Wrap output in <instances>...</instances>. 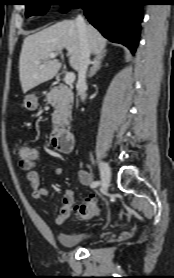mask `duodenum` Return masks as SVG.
I'll return each instance as SVG.
<instances>
[{"mask_svg":"<svg viewBox=\"0 0 174 278\" xmlns=\"http://www.w3.org/2000/svg\"><path fill=\"white\" fill-rule=\"evenodd\" d=\"M51 143L57 150L68 153L73 148V134L67 128H56L51 134Z\"/></svg>","mask_w":174,"mask_h":278,"instance_id":"410a0bca","label":"duodenum"}]
</instances>
